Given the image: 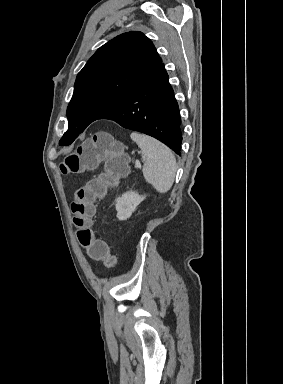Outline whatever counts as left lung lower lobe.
<instances>
[{
    "label": "left lung lower lobe",
    "instance_id": "0a47b994",
    "mask_svg": "<svg viewBox=\"0 0 283 384\" xmlns=\"http://www.w3.org/2000/svg\"><path fill=\"white\" fill-rule=\"evenodd\" d=\"M99 119L113 120L124 128L150 135L180 155L179 107L163 63Z\"/></svg>",
    "mask_w": 283,
    "mask_h": 384
}]
</instances>
